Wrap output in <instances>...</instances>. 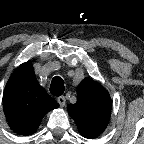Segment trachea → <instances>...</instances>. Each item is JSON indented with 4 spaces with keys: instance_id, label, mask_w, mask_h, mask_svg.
Returning <instances> with one entry per match:
<instances>
[{
    "instance_id": "3493384b",
    "label": "trachea",
    "mask_w": 144,
    "mask_h": 144,
    "mask_svg": "<svg viewBox=\"0 0 144 144\" xmlns=\"http://www.w3.org/2000/svg\"><path fill=\"white\" fill-rule=\"evenodd\" d=\"M64 90L65 87L63 79L59 76L54 77L50 85V92L54 96H61L64 93Z\"/></svg>"
}]
</instances>
